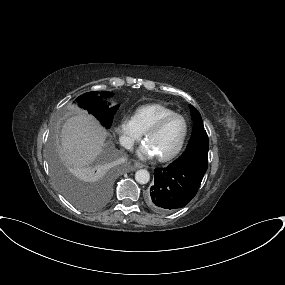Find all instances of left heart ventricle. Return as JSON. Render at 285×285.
Returning <instances> with one entry per match:
<instances>
[{"label": "left heart ventricle", "instance_id": "left-heart-ventricle-1", "mask_svg": "<svg viewBox=\"0 0 285 285\" xmlns=\"http://www.w3.org/2000/svg\"><path fill=\"white\" fill-rule=\"evenodd\" d=\"M184 133V123L180 118L169 121L158 132L147 137L156 155H165L173 151L181 141Z\"/></svg>", "mask_w": 285, "mask_h": 285}]
</instances>
